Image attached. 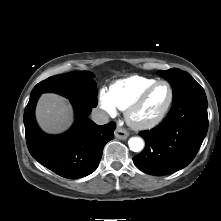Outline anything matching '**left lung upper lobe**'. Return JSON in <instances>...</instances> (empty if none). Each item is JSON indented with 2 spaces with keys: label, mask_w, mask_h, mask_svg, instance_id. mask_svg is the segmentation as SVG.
<instances>
[{
  "label": "left lung upper lobe",
  "mask_w": 221,
  "mask_h": 221,
  "mask_svg": "<svg viewBox=\"0 0 221 221\" xmlns=\"http://www.w3.org/2000/svg\"><path fill=\"white\" fill-rule=\"evenodd\" d=\"M159 75L167 79L171 84L173 89V99L188 91L201 88L199 83L192 76L177 68H172L166 71L159 70Z\"/></svg>",
  "instance_id": "5c2ea615"
}]
</instances>
